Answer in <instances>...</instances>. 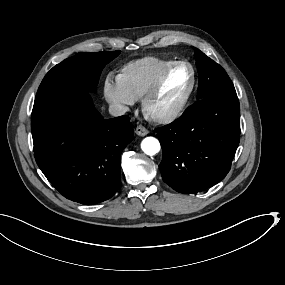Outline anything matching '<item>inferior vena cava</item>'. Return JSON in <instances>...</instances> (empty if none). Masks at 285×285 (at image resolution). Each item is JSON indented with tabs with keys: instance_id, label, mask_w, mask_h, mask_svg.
Listing matches in <instances>:
<instances>
[{
	"instance_id": "1",
	"label": "inferior vena cava",
	"mask_w": 285,
	"mask_h": 285,
	"mask_svg": "<svg viewBox=\"0 0 285 285\" xmlns=\"http://www.w3.org/2000/svg\"><path fill=\"white\" fill-rule=\"evenodd\" d=\"M129 112V108L125 105L114 103L109 105V113L112 116H122L125 113Z\"/></svg>"
}]
</instances>
